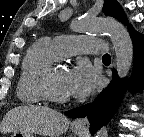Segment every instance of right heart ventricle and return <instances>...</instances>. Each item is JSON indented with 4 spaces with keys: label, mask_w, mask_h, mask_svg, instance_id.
Here are the masks:
<instances>
[{
    "label": "right heart ventricle",
    "mask_w": 144,
    "mask_h": 137,
    "mask_svg": "<svg viewBox=\"0 0 144 137\" xmlns=\"http://www.w3.org/2000/svg\"><path fill=\"white\" fill-rule=\"evenodd\" d=\"M58 58L53 43L49 40H40L29 48L17 83V96L22 103L34 105L45 102L41 78L44 71Z\"/></svg>",
    "instance_id": "e07e8e85"
}]
</instances>
